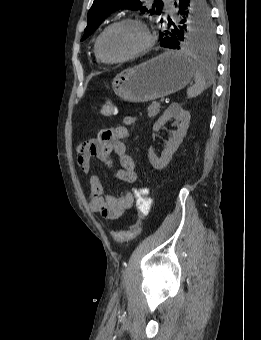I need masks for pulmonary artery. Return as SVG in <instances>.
Returning a JSON list of instances; mask_svg holds the SVG:
<instances>
[{
	"label": "pulmonary artery",
	"mask_w": 261,
	"mask_h": 340,
	"mask_svg": "<svg viewBox=\"0 0 261 340\" xmlns=\"http://www.w3.org/2000/svg\"><path fill=\"white\" fill-rule=\"evenodd\" d=\"M165 1H166V3H167L168 6L171 5V1H172V0H165Z\"/></svg>",
	"instance_id": "obj_1"
}]
</instances>
